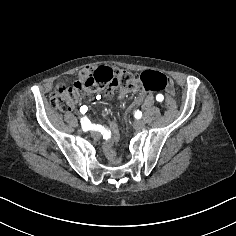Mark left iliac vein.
<instances>
[{"label":"left iliac vein","mask_w":236,"mask_h":236,"mask_svg":"<svg viewBox=\"0 0 236 236\" xmlns=\"http://www.w3.org/2000/svg\"><path fill=\"white\" fill-rule=\"evenodd\" d=\"M134 127H135L136 130L141 131V130L144 129L145 124H144L143 121L138 120V121L135 122Z\"/></svg>","instance_id":"obj_1"}]
</instances>
